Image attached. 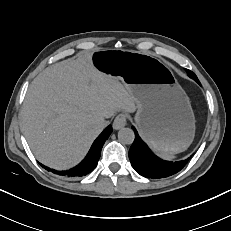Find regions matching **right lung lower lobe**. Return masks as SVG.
<instances>
[{"label": "right lung lower lobe", "mask_w": 231, "mask_h": 231, "mask_svg": "<svg viewBox=\"0 0 231 231\" xmlns=\"http://www.w3.org/2000/svg\"><path fill=\"white\" fill-rule=\"evenodd\" d=\"M112 132V126L109 125L94 141L88 155L85 159L76 167L66 170V171H57L50 169L41 164L46 170L53 172L54 174L61 175L64 177H81L89 174L97 165V162L101 155V149L104 142L108 139L109 135Z\"/></svg>", "instance_id": "right-lung-lower-lobe-1"}]
</instances>
